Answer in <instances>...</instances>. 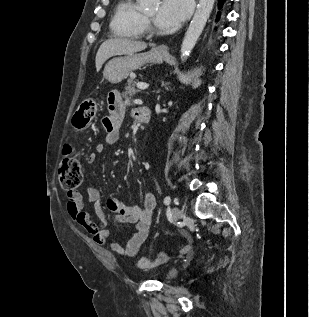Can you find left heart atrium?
Listing matches in <instances>:
<instances>
[{
	"label": "left heart atrium",
	"instance_id": "obj_1",
	"mask_svg": "<svg viewBox=\"0 0 309 317\" xmlns=\"http://www.w3.org/2000/svg\"><path fill=\"white\" fill-rule=\"evenodd\" d=\"M190 12L189 0H162L155 22L166 31L176 29Z\"/></svg>",
	"mask_w": 309,
	"mask_h": 317
}]
</instances>
